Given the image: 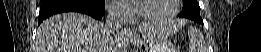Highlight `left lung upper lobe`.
<instances>
[{
    "instance_id": "1",
    "label": "left lung upper lobe",
    "mask_w": 261,
    "mask_h": 52,
    "mask_svg": "<svg viewBox=\"0 0 261 52\" xmlns=\"http://www.w3.org/2000/svg\"><path fill=\"white\" fill-rule=\"evenodd\" d=\"M199 10L200 7L196 0H183V9L179 17L189 18L203 24Z\"/></svg>"
}]
</instances>
